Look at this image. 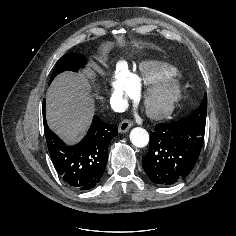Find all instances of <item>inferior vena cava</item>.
Masks as SVG:
<instances>
[{"label":"inferior vena cava","instance_id":"602c4592","mask_svg":"<svg viewBox=\"0 0 236 236\" xmlns=\"http://www.w3.org/2000/svg\"><path fill=\"white\" fill-rule=\"evenodd\" d=\"M112 107L117 112H123L127 108V103H125L123 99L114 98L112 101Z\"/></svg>","mask_w":236,"mask_h":236}]
</instances>
